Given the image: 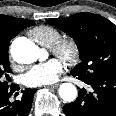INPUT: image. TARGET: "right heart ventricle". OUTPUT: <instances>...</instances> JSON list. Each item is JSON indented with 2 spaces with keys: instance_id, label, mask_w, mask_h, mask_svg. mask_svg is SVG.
<instances>
[{
  "instance_id": "right-heart-ventricle-1",
  "label": "right heart ventricle",
  "mask_w": 116,
  "mask_h": 116,
  "mask_svg": "<svg viewBox=\"0 0 116 116\" xmlns=\"http://www.w3.org/2000/svg\"><path fill=\"white\" fill-rule=\"evenodd\" d=\"M29 33L37 43L45 47L53 46L62 38L60 31L49 25L36 26Z\"/></svg>"
}]
</instances>
